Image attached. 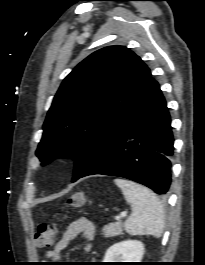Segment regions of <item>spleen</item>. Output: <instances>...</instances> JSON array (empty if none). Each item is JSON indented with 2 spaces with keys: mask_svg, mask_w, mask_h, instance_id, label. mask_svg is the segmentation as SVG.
Listing matches in <instances>:
<instances>
[{
  "mask_svg": "<svg viewBox=\"0 0 205 265\" xmlns=\"http://www.w3.org/2000/svg\"><path fill=\"white\" fill-rule=\"evenodd\" d=\"M115 184L132 208L131 216L125 221V230L130 235H151L159 238L165 228L163 206L149 188L130 180L117 178Z\"/></svg>",
  "mask_w": 205,
  "mask_h": 265,
  "instance_id": "3e777b00",
  "label": "spleen"
}]
</instances>
